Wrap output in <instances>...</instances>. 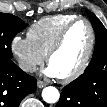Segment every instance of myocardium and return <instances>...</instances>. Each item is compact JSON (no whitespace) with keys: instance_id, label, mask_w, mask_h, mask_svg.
Instances as JSON below:
<instances>
[{"instance_id":"f54148a6","label":"myocardium","mask_w":107,"mask_h":107,"mask_svg":"<svg viewBox=\"0 0 107 107\" xmlns=\"http://www.w3.org/2000/svg\"><path fill=\"white\" fill-rule=\"evenodd\" d=\"M80 22L85 23L89 29L90 39H89L88 49H87L86 55H85L82 63L74 72H72L71 74H69L67 76L59 77V79L61 80L62 83H70V82L78 79L80 76H82L84 74V72L87 70V68L91 62V59H92V56L94 53V49H95V42H96L95 30H94V27L91 24V22L89 20H87L86 18H83V17H78V18L70 21L61 30L56 41L54 42V44L52 45V47L50 48V50L48 51V53L46 55L47 62L50 63L51 58L63 46L64 41L66 39V36H67L68 32L70 31V29L74 25H76L77 23H80Z\"/></svg>"}]
</instances>
